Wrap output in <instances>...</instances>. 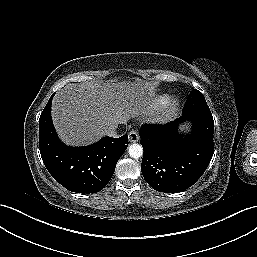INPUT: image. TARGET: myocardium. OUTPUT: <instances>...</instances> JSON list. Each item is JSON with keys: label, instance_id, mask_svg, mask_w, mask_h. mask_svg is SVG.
Masks as SVG:
<instances>
[{"label": "myocardium", "instance_id": "myocardium-1", "mask_svg": "<svg viewBox=\"0 0 257 257\" xmlns=\"http://www.w3.org/2000/svg\"><path fill=\"white\" fill-rule=\"evenodd\" d=\"M180 108V100L178 98L170 99L166 104L162 112L157 118L160 123L170 122L178 113Z\"/></svg>", "mask_w": 257, "mask_h": 257}]
</instances>
